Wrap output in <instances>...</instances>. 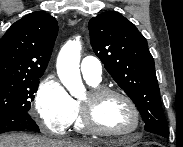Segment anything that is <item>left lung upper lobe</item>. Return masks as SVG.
Returning a JSON list of instances; mask_svg holds the SVG:
<instances>
[{"instance_id":"obj_1","label":"left lung upper lobe","mask_w":183,"mask_h":147,"mask_svg":"<svg viewBox=\"0 0 183 147\" xmlns=\"http://www.w3.org/2000/svg\"><path fill=\"white\" fill-rule=\"evenodd\" d=\"M89 32L95 54L138 108L145 130L169 138L154 59L145 37L133 23L115 11L91 18Z\"/></svg>"}]
</instances>
